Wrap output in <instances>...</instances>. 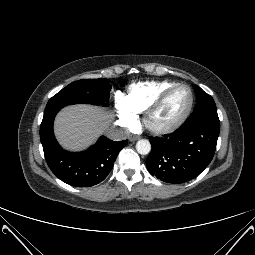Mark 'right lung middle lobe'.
<instances>
[{"instance_id":"1","label":"right lung middle lobe","mask_w":255,"mask_h":255,"mask_svg":"<svg viewBox=\"0 0 255 255\" xmlns=\"http://www.w3.org/2000/svg\"><path fill=\"white\" fill-rule=\"evenodd\" d=\"M110 80L108 79H84L72 82L47 103L45 109L52 107H64L77 103H88L107 106L110 96Z\"/></svg>"}]
</instances>
